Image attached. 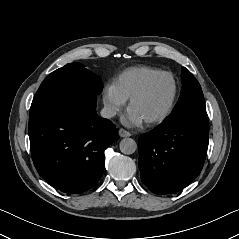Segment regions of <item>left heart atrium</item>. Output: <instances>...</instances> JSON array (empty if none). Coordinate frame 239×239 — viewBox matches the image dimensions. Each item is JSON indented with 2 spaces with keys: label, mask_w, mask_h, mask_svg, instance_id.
Returning <instances> with one entry per match:
<instances>
[{
  "label": "left heart atrium",
  "mask_w": 239,
  "mask_h": 239,
  "mask_svg": "<svg viewBox=\"0 0 239 239\" xmlns=\"http://www.w3.org/2000/svg\"><path fill=\"white\" fill-rule=\"evenodd\" d=\"M123 122L128 126H138L142 124L143 119L129 108L123 116Z\"/></svg>",
  "instance_id": "obj_1"
}]
</instances>
